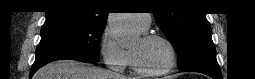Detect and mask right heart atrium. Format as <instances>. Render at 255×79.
Listing matches in <instances>:
<instances>
[{"label": "right heart atrium", "instance_id": "right-heart-atrium-1", "mask_svg": "<svg viewBox=\"0 0 255 79\" xmlns=\"http://www.w3.org/2000/svg\"><path fill=\"white\" fill-rule=\"evenodd\" d=\"M100 50L105 63L115 71L122 72L129 65V53L118 45L107 29L102 34Z\"/></svg>", "mask_w": 255, "mask_h": 79}]
</instances>
